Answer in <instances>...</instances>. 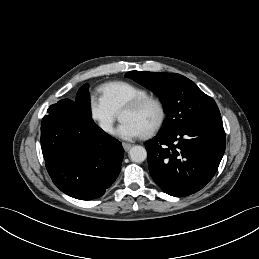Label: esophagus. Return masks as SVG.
I'll return each instance as SVG.
<instances>
[{
    "label": "esophagus",
    "instance_id": "1",
    "mask_svg": "<svg viewBox=\"0 0 259 259\" xmlns=\"http://www.w3.org/2000/svg\"><path fill=\"white\" fill-rule=\"evenodd\" d=\"M122 146H123L125 151H129V149L132 147L131 144L125 143V142L122 143Z\"/></svg>",
    "mask_w": 259,
    "mask_h": 259
}]
</instances>
